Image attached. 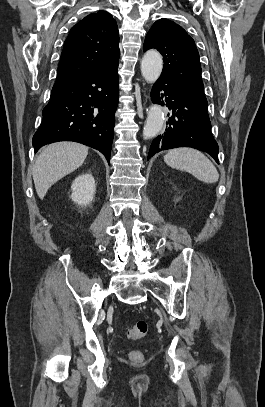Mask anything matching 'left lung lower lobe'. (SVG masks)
<instances>
[{
    "instance_id": "1",
    "label": "left lung lower lobe",
    "mask_w": 265,
    "mask_h": 407,
    "mask_svg": "<svg viewBox=\"0 0 265 407\" xmlns=\"http://www.w3.org/2000/svg\"><path fill=\"white\" fill-rule=\"evenodd\" d=\"M153 102L172 110L169 128L163 138L158 136L151 144L148 158L161 150L187 146L203 150L218 161V144L211 133L208 104L198 101L173 81L161 76L155 83ZM169 116V114H168Z\"/></svg>"
}]
</instances>
